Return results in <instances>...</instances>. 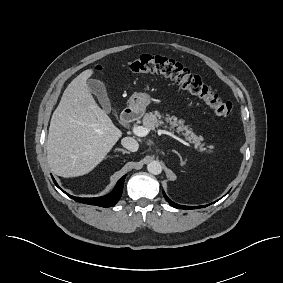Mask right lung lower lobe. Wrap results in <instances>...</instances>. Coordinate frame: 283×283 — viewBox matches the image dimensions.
<instances>
[{
  "label": "right lung lower lobe",
  "instance_id": "98d812e1",
  "mask_svg": "<svg viewBox=\"0 0 283 283\" xmlns=\"http://www.w3.org/2000/svg\"><path fill=\"white\" fill-rule=\"evenodd\" d=\"M126 175H124L116 184L115 188L107 195L102 196V197H96V198H80V197H74L66 192H64L58 184L55 182L53 179L54 183L56 186L61 189L65 194H67L70 198L74 199L75 201L85 203V204H90V205H97L101 207H111L114 206L118 200L120 199L123 191V184L125 180ZM53 178V177H52Z\"/></svg>",
  "mask_w": 283,
  "mask_h": 283
}]
</instances>
